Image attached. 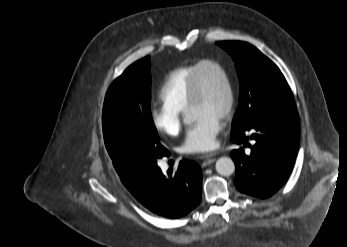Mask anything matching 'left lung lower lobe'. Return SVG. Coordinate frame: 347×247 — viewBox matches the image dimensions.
<instances>
[{
    "label": "left lung lower lobe",
    "instance_id": "1",
    "mask_svg": "<svg viewBox=\"0 0 347 247\" xmlns=\"http://www.w3.org/2000/svg\"><path fill=\"white\" fill-rule=\"evenodd\" d=\"M248 132L251 135L248 136ZM300 123L297 110L275 111L263 115L245 130L231 132L236 144L249 145L251 153L243 148L233 150L235 185L242 193L267 198L276 193L288 179L298 152Z\"/></svg>",
    "mask_w": 347,
    "mask_h": 247
}]
</instances>
